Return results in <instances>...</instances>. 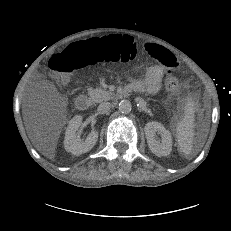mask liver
Listing matches in <instances>:
<instances>
[{
    "label": "liver",
    "instance_id": "6515ba94",
    "mask_svg": "<svg viewBox=\"0 0 231 231\" xmlns=\"http://www.w3.org/2000/svg\"><path fill=\"white\" fill-rule=\"evenodd\" d=\"M41 141L44 142L42 138H41ZM37 148H38V150H39L40 152H42L45 156H48L49 158H53V157H54V150H55V147H51V146L49 147V146H47V144L42 143V144H40Z\"/></svg>",
    "mask_w": 231,
    "mask_h": 231
}]
</instances>
